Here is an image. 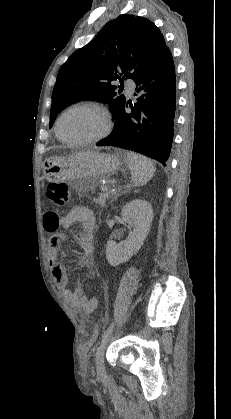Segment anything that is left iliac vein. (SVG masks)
Segmentation results:
<instances>
[{
	"instance_id": "left-iliac-vein-1",
	"label": "left iliac vein",
	"mask_w": 231,
	"mask_h": 419,
	"mask_svg": "<svg viewBox=\"0 0 231 419\" xmlns=\"http://www.w3.org/2000/svg\"><path fill=\"white\" fill-rule=\"evenodd\" d=\"M110 335L102 342L100 347L98 348V351L95 355V363H96V369L97 373L99 375H103L105 373V366H104V353L106 350V347L110 340Z\"/></svg>"
}]
</instances>
